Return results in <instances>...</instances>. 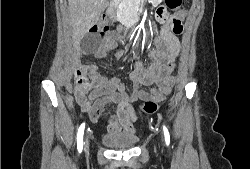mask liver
<instances>
[{
    "mask_svg": "<svg viewBox=\"0 0 250 169\" xmlns=\"http://www.w3.org/2000/svg\"><path fill=\"white\" fill-rule=\"evenodd\" d=\"M108 2L109 0H68L74 46H79L81 38L97 22Z\"/></svg>",
    "mask_w": 250,
    "mask_h": 169,
    "instance_id": "liver-1",
    "label": "liver"
}]
</instances>
